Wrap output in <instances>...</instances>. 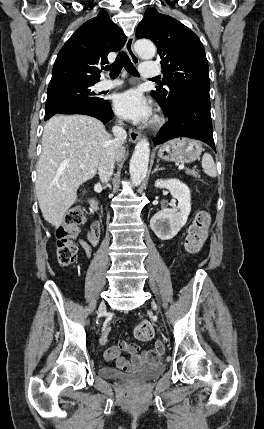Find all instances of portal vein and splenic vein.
Instances as JSON below:
<instances>
[{
  "label": "portal vein and splenic vein",
  "mask_w": 264,
  "mask_h": 429,
  "mask_svg": "<svg viewBox=\"0 0 264 429\" xmlns=\"http://www.w3.org/2000/svg\"><path fill=\"white\" fill-rule=\"evenodd\" d=\"M81 168H84V166H83V165H81ZM178 169H179V170L184 169V164L179 165V166H178Z\"/></svg>",
  "instance_id": "18ae733b"
}]
</instances>
